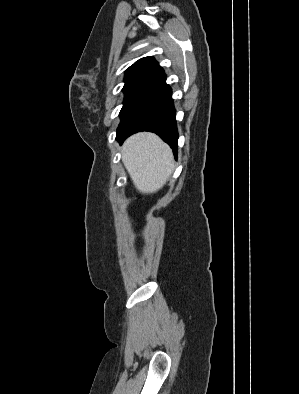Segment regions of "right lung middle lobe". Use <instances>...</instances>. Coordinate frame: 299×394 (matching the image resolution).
Here are the masks:
<instances>
[{"label":"right lung middle lobe","instance_id":"right-lung-middle-lobe-1","mask_svg":"<svg viewBox=\"0 0 299 394\" xmlns=\"http://www.w3.org/2000/svg\"><path fill=\"white\" fill-rule=\"evenodd\" d=\"M148 89L143 87H124L125 94L123 107L120 111V116L123 118L127 110L134 104V102L143 95Z\"/></svg>","mask_w":299,"mask_h":394}]
</instances>
